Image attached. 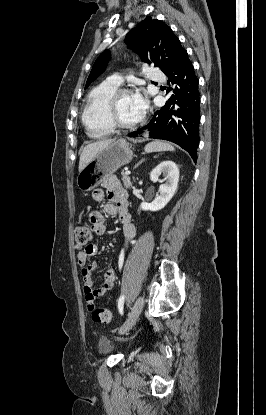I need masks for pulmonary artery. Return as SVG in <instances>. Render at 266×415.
<instances>
[{
  "instance_id": "1",
  "label": "pulmonary artery",
  "mask_w": 266,
  "mask_h": 415,
  "mask_svg": "<svg viewBox=\"0 0 266 415\" xmlns=\"http://www.w3.org/2000/svg\"><path fill=\"white\" fill-rule=\"evenodd\" d=\"M146 77L150 80L156 82H162L164 80V75L157 68L147 67L146 68ZM106 82L119 87L122 83V78L119 75H111L106 79Z\"/></svg>"
}]
</instances>
